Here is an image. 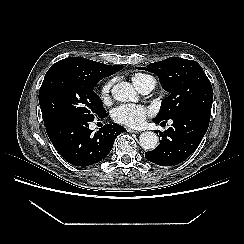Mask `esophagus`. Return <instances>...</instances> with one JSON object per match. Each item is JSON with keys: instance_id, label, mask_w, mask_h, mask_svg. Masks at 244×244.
Instances as JSON below:
<instances>
[{"instance_id": "obj_1", "label": "esophagus", "mask_w": 244, "mask_h": 244, "mask_svg": "<svg viewBox=\"0 0 244 244\" xmlns=\"http://www.w3.org/2000/svg\"><path fill=\"white\" fill-rule=\"evenodd\" d=\"M127 131L129 132V133H139V131H137V130H133V129H127Z\"/></svg>"}]
</instances>
